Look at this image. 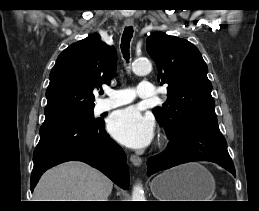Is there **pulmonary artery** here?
Returning <instances> with one entry per match:
<instances>
[{"instance_id":"1","label":"pulmonary artery","mask_w":259,"mask_h":211,"mask_svg":"<svg viewBox=\"0 0 259 211\" xmlns=\"http://www.w3.org/2000/svg\"><path fill=\"white\" fill-rule=\"evenodd\" d=\"M106 93L107 97L100 100L96 106V110L99 113L129 104L134 101L136 97L148 99L153 98L156 94L153 85L148 81H141L136 93L129 88L108 89Z\"/></svg>"}]
</instances>
